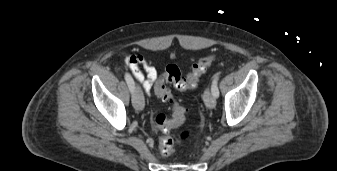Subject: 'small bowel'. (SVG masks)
I'll return each mask as SVG.
<instances>
[{"label": "small bowel", "instance_id": "1", "mask_svg": "<svg viewBox=\"0 0 337 171\" xmlns=\"http://www.w3.org/2000/svg\"><path fill=\"white\" fill-rule=\"evenodd\" d=\"M125 64L131 69L137 81L141 83L145 93L149 95L159 79L156 68L140 54L128 56L125 59Z\"/></svg>", "mask_w": 337, "mask_h": 171}]
</instances>
